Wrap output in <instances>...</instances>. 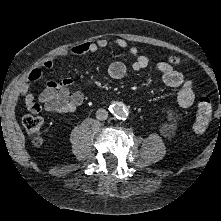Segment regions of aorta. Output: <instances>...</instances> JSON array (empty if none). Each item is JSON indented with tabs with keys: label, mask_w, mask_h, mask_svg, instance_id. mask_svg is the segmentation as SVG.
Instances as JSON below:
<instances>
[{
	"label": "aorta",
	"mask_w": 221,
	"mask_h": 221,
	"mask_svg": "<svg viewBox=\"0 0 221 221\" xmlns=\"http://www.w3.org/2000/svg\"><path fill=\"white\" fill-rule=\"evenodd\" d=\"M111 111L119 119H124L127 115L125 108L117 103L111 105Z\"/></svg>",
	"instance_id": "obj_1"
}]
</instances>
